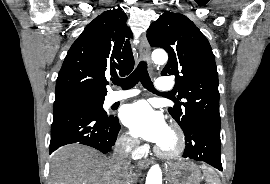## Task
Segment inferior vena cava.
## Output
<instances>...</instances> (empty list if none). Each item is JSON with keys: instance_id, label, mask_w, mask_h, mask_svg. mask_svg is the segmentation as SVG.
<instances>
[{"instance_id": "obj_1", "label": "inferior vena cava", "mask_w": 270, "mask_h": 184, "mask_svg": "<svg viewBox=\"0 0 270 184\" xmlns=\"http://www.w3.org/2000/svg\"><path fill=\"white\" fill-rule=\"evenodd\" d=\"M137 144L138 141L134 139H124L119 141L115 146L111 164H113L117 169L126 171L130 165V151L136 147Z\"/></svg>"}]
</instances>
